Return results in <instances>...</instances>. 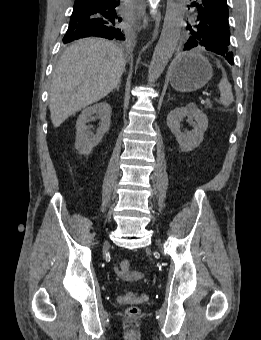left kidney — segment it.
<instances>
[{"label": "left kidney", "mask_w": 261, "mask_h": 340, "mask_svg": "<svg viewBox=\"0 0 261 340\" xmlns=\"http://www.w3.org/2000/svg\"><path fill=\"white\" fill-rule=\"evenodd\" d=\"M184 117L189 120L195 119L193 130L181 131L180 122ZM167 126L175 135L180 149L188 152L198 147L203 141L204 132L208 127V118L194 103H189L186 107L175 108L167 115Z\"/></svg>", "instance_id": "1"}]
</instances>
